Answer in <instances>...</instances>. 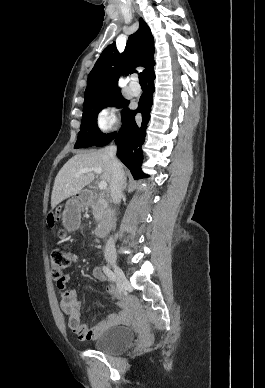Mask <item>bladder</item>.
<instances>
[{
    "mask_svg": "<svg viewBox=\"0 0 265 388\" xmlns=\"http://www.w3.org/2000/svg\"><path fill=\"white\" fill-rule=\"evenodd\" d=\"M133 336L131 328L108 329L95 340L94 346L98 351H121L133 344Z\"/></svg>",
    "mask_w": 265,
    "mask_h": 388,
    "instance_id": "bladder-1",
    "label": "bladder"
}]
</instances>
